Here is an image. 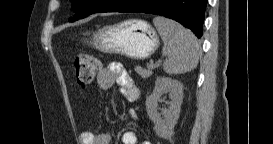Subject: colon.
<instances>
[{
	"label": "colon",
	"instance_id": "1",
	"mask_svg": "<svg viewBox=\"0 0 273 144\" xmlns=\"http://www.w3.org/2000/svg\"><path fill=\"white\" fill-rule=\"evenodd\" d=\"M99 61L92 55L81 54L74 60L76 81L82 88L92 84L99 69Z\"/></svg>",
	"mask_w": 273,
	"mask_h": 144
}]
</instances>
